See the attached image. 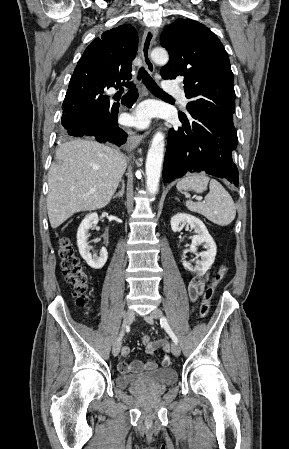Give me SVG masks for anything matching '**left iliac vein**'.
<instances>
[{
	"label": "left iliac vein",
	"instance_id": "obj_1",
	"mask_svg": "<svg viewBox=\"0 0 289 449\" xmlns=\"http://www.w3.org/2000/svg\"><path fill=\"white\" fill-rule=\"evenodd\" d=\"M162 317V312L160 309L155 308L149 315L145 316V320L149 323V324H153V319H160ZM171 352L174 356H179L180 355V347L178 346L177 343L173 342L171 344Z\"/></svg>",
	"mask_w": 289,
	"mask_h": 449
}]
</instances>
